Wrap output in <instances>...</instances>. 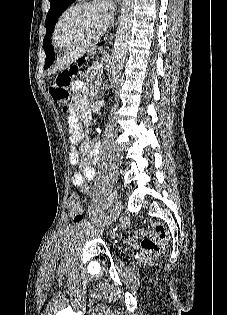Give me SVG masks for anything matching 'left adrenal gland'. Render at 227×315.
Returning <instances> with one entry per match:
<instances>
[{"mask_svg": "<svg viewBox=\"0 0 227 315\" xmlns=\"http://www.w3.org/2000/svg\"><path fill=\"white\" fill-rule=\"evenodd\" d=\"M95 84H96V90H95V95H96L97 92L100 90V85L102 84V77H101V74L98 75ZM102 89H104V88H102Z\"/></svg>", "mask_w": 227, "mask_h": 315, "instance_id": "a2214340", "label": "left adrenal gland"}]
</instances>
